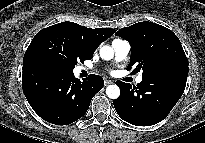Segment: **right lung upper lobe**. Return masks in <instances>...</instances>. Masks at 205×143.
I'll use <instances>...</instances> for the list:
<instances>
[{
  "label": "right lung upper lobe",
  "instance_id": "right-lung-upper-lobe-1",
  "mask_svg": "<svg viewBox=\"0 0 205 143\" xmlns=\"http://www.w3.org/2000/svg\"><path fill=\"white\" fill-rule=\"evenodd\" d=\"M57 25L65 27L72 34H74L92 55L96 48L104 40L112 36L116 31L110 28H86L74 22L68 21L59 23Z\"/></svg>",
  "mask_w": 205,
  "mask_h": 143
}]
</instances>
